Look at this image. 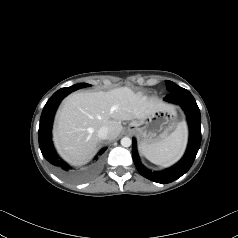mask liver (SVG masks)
Wrapping results in <instances>:
<instances>
[{
    "instance_id": "liver-1",
    "label": "liver",
    "mask_w": 238,
    "mask_h": 238,
    "mask_svg": "<svg viewBox=\"0 0 238 238\" xmlns=\"http://www.w3.org/2000/svg\"><path fill=\"white\" fill-rule=\"evenodd\" d=\"M164 107L159 100L135 93L129 87L73 93L57 114L53 131L55 147L67 162L81 165L95 154L101 127H107V139L114 140L123 129L121 121L142 119Z\"/></svg>"
}]
</instances>
